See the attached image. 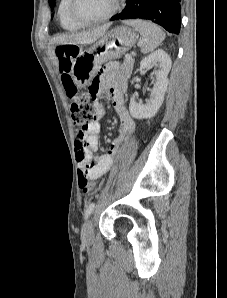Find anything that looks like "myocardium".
I'll list each match as a JSON object with an SVG mask.
<instances>
[{"label":"myocardium","mask_w":227,"mask_h":298,"mask_svg":"<svg viewBox=\"0 0 227 298\" xmlns=\"http://www.w3.org/2000/svg\"><path fill=\"white\" fill-rule=\"evenodd\" d=\"M75 4H76V0H69L68 13H69L70 18L74 22H76L82 26H90V25L103 23V22L111 19L119 11L120 6H121V0H114L113 7L107 14L103 15L100 18L93 19V20H87V19L80 18L75 12Z\"/></svg>","instance_id":"1"}]
</instances>
